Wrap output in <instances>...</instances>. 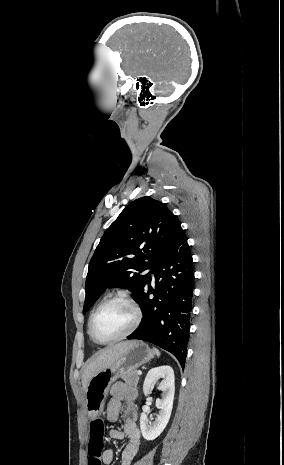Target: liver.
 I'll return each mask as SVG.
<instances>
[{
	"label": "liver",
	"instance_id": "liver-1",
	"mask_svg": "<svg viewBox=\"0 0 284 465\" xmlns=\"http://www.w3.org/2000/svg\"><path fill=\"white\" fill-rule=\"evenodd\" d=\"M131 341H124V343H117V345H113V347H107L104 349L100 355L97 357H92L90 361H88V365L84 367L82 373V387L83 391H86L87 383H89L90 379L103 371V369H108V367H112L116 361H118L119 357L127 351Z\"/></svg>",
	"mask_w": 284,
	"mask_h": 465
}]
</instances>
